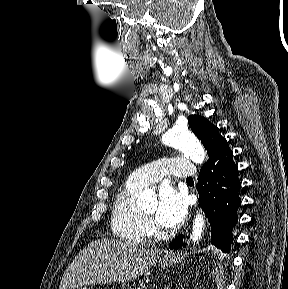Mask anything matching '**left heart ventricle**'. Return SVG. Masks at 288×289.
Listing matches in <instances>:
<instances>
[{
	"mask_svg": "<svg viewBox=\"0 0 288 289\" xmlns=\"http://www.w3.org/2000/svg\"><path fill=\"white\" fill-rule=\"evenodd\" d=\"M156 209H157V208H156V205H153L152 207L146 209V210L144 211V213H145L147 216H149V217H153L154 214L156 213Z\"/></svg>",
	"mask_w": 288,
	"mask_h": 289,
	"instance_id": "1",
	"label": "left heart ventricle"
}]
</instances>
